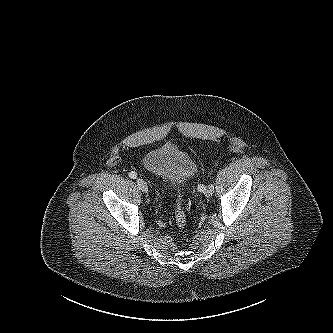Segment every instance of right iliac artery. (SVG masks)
<instances>
[{"label": "right iliac artery", "instance_id": "obj_1", "mask_svg": "<svg viewBox=\"0 0 333 333\" xmlns=\"http://www.w3.org/2000/svg\"><path fill=\"white\" fill-rule=\"evenodd\" d=\"M129 177H130L131 179H136V177H137V173L134 172V171H131V172L129 173Z\"/></svg>", "mask_w": 333, "mask_h": 333}]
</instances>
